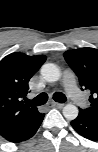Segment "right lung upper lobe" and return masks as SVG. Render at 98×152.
Segmentation results:
<instances>
[{
  "label": "right lung upper lobe",
  "mask_w": 98,
  "mask_h": 152,
  "mask_svg": "<svg viewBox=\"0 0 98 152\" xmlns=\"http://www.w3.org/2000/svg\"><path fill=\"white\" fill-rule=\"evenodd\" d=\"M46 61V56L12 53L0 61V135L18 129L38 113L36 107L24 103L28 82Z\"/></svg>",
  "instance_id": "cb5924a9"
}]
</instances>
